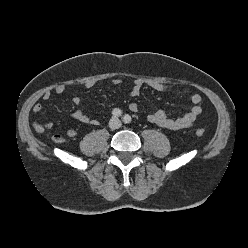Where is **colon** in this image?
Segmentation results:
<instances>
[{
    "mask_svg": "<svg viewBox=\"0 0 248 248\" xmlns=\"http://www.w3.org/2000/svg\"><path fill=\"white\" fill-rule=\"evenodd\" d=\"M195 134L198 137H202L205 134V131L202 128H198V129L195 130Z\"/></svg>",
    "mask_w": 248,
    "mask_h": 248,
    "instance_id": "obj_1",
    "label": "colon"
}]
</instances>
